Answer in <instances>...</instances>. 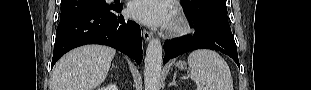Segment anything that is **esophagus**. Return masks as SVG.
I'll return each mask as SVG.
<instances>
[{
    "label": "esophagus",
    "instance_id": "34e87169",
    "mask_svg": "<svg viewBox=\"0 0 311 90\" xmlns=\"http://www.w3.org/2000/svg\"><path fill=\"white\" fill-rule=\"evenodd\" d=\"M143 37L146 41H149L152 38V33L147 30H143Z\"/></svg>",
    "mask_w": 311,
    "mask_h": 90
}]
</instances>
